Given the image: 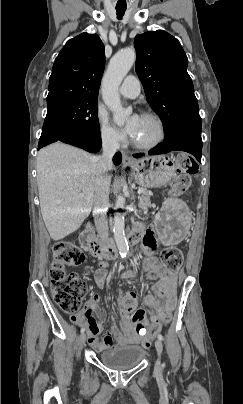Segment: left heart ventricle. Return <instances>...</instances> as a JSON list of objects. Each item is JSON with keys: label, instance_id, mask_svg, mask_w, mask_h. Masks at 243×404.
I'll return each mask as SVG.
<instances>
[{"label": "left heart ventricle", "instance_id": "left-heart-ventricle-1", "mask_svg": "<svg viewBox=\"0 0 243 404\" xmlns=\"http://www.w3.org/2000/svg\"><path fill=\"white\" fill-rule=\"evenodd\" d=\"M159 128L155 120L141 116L140 124L133 140L139 143H151L157 139Z\"/></svg>", "mask_w": 243, "mask_h": 404}]
</instances>
